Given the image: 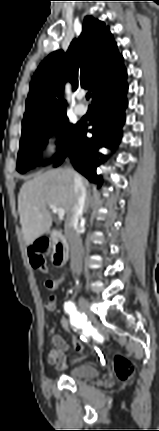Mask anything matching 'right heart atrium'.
Segmentation results:
<instances>
[{"label": "right heart atrium", "instance_id": "d8ad5b80", "mask_svg": "<svg viewBox=\"0 0 159 431\" xmlns=\"http://www.w3.org/2000/svg\"><path fill=\"white\" fill-rule=\"evenodd\" d=\"M61 135L59 130H49L42 140V150L46 158H55L61 150Z\"/></svg>", "mask_w": 159, "mask_h": 431}]
</instances>
